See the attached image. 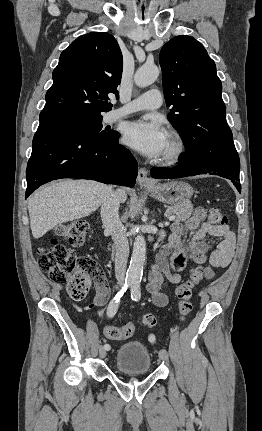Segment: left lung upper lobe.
I'll list each match as a JSON object with an SVG mask.
<instances>
[{
  "mask_svg": "<svg viewBox=\"0 0 262 431\" xmlns=\"http://www.w3.org/2000/svg\"><path fill=\"white\" fill-rule=\"evenodd\" d=\"M159 60L171 108L168 119L186 145L181 162L211 168L223 156H238L225 118L222 84L203 45L193 37L176 36L163 46Z\"/></svg>",
  "mask_w": 262,
  "mask_h": 431,
  "instance_id": "1",
  "label": "left lung upper lobe"
}]
</instances>
